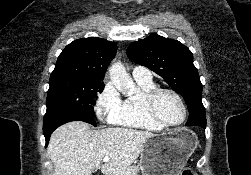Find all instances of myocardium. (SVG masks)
I'll use <instances>...</instances> for the list:
<instances>
[{
	"mask_svg": "<svg viewBox=\"0 0 251 175\" xmlns=\"http://www.w3.org/2000/svg\"><path fill=\"white\" fill-rule=\"evenodd\" d=\"M163 92H169V93L174 94L183 107L184 118H183L182 122L178 125H169V124L165 123L158 116V114L156 112V108H155L156 99ZM142 105H143V108H144L146 114L148 115V117L163 129H168V130L180 129V128H183L188 122V118H189L188 106H187L182 94L173 88L155 87L154 89H152L151 91H149L143 95Z\"/></svg>",
	"mask_w": 251,
	"mask_h": 175,
	"instance_id": "f54148a6",
	"label": "myocardium"
}]
</instances>
